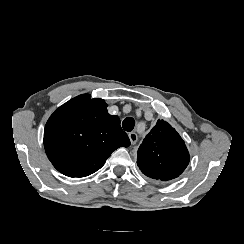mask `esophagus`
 <instances>
[{
  "label": "esophagus",
  "mask_w": 244,
  "mask_h": 244,
  "mask_svg": "<svg viewBox=\"0 0 244 244\" xmlns=\"http://www.w3.org/2000/svg\"><path fill=\"white\" fill-rule=\"evenodd\" d=\"M129 136V139H130V142L132 145L136 144L137 140H138V137H137V134L135 132H130L128 134Z\"/></svg>",
  "instance_id": "34e87169"
}]
</instances>
